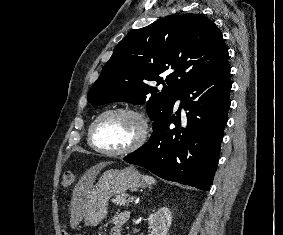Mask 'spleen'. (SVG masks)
<instances>
[{"mask_svg":"<svg viewBox=\"0 0 283 235\" xmlns=\"http://www.w3.org/2000/svg\"><path fill=\"white\" fill-rule=\"evenodd\" d=\"M144 180L148 184H155L156 180L152 176L145 175L143 176Z\"/></svg>","mask_w":283,"mask_h":235,"instance_id":"obj_1","label":"spleen"}]
</instances>
